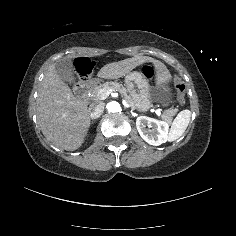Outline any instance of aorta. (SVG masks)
<instances>
[{
  "mask_svg": "<svg viewBox=\"0 0 236 236\" xmlns=\"http://www.w3.org/2000/svg\"><path fill=\"white\" fill-rule=\"evenodd\" d=\"M119 107H120L119 104L115 101H111L107 104V110L109 112H117Z\"/></svg>",
  "mask_w": 236,
  "mask_h": 236,
  "instance_id": "1",
  "label": "aorta"
}]
</instances>
